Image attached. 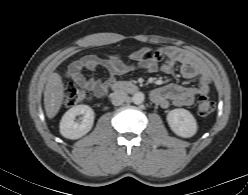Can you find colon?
<instances>
[{
	"mask_svg": "<svg viewBox=\"0 0 248 195\" xmlns=\"http://www.w3.org/2000/svg\"><path fill=\"white\" fill-rule=\"evenodd\" d=\"M149 57L158 61L162 58L161 53L155 52L153 54H149ZM89 99L88 93L78 87L73 83H67L64 86V100L65 104L69 107H73L78 105L79 103L86 101ZM214 110V103L211 99L206 96H200L196 102V114L199 117H207Z\"/></svg>",
	"mask_w": 248,
	"mask_h": 195,
	"instance_id": "1",
	"label": "colon"
}]
</instances>
